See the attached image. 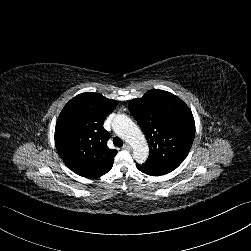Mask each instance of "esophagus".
<instances>
[{"label":"esophagus","mask_w":251,"mask_h":251,"mask_svg":"<svg viewBox=\"0 0 251 251\" xmlns=\"http://www.w3.org/2000/svg\"><path fill=\"white\" fill-rule=\"evenodd\" d=\"M123 148L126 149V150H131L132 149L131 145L128 142H125Z\"/></svg>","instance_id":"esophagus-1"}]
</instances>
